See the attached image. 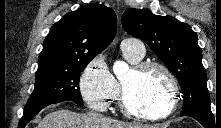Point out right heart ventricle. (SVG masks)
<instances>
[{
  "label": "right heart ventricle",
  "instance_id": "e07e8e85",
  "mask_svg": "<svg viewBox=\"0 0 221 128\" xmlns=\"http://www.w3.org/2000/svg\"><path fill=\"white\" fill-rule=\"evenodd\" d=\"M124 58L131 63L132 65H137L139 64V62L141 61V58H137L132 52H128V51H122ZM118 88H119V83L118 81L115 79ZM118 97V96H116ZM116 97H114L113 99H116Z\"/></svg>",
  "mask_w": 221,
  "mask_h": 128
}]
</instances>
